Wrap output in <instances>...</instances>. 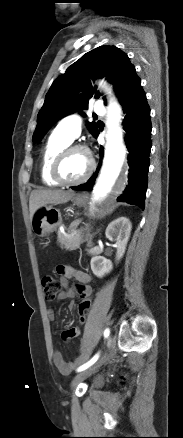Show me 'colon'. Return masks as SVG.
<instances>
[{
	"instance_id": "colon-1",
	"label": "colon",
	"mask_w": 183,
	"mask_h": 438,
	"mask_svg": "<svg viewBox=\"0 0 183 438\" xmlns=\"http://www.w3.org/2000/svg\"><path fill=\"white\" fill-rule=\"evenodd\" d=\"M42 286L44 290V295L46 300H54L60 291L59 282L53 277H44L42 280ZM92 305L91 298L88 296L82 297L78 305V318L81 325L85 324L87 321L88 313ZM126 380V377H122Z\"/></svg>"
}]
</instances>
